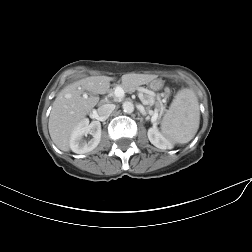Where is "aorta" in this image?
<instances>
[{"instance_id": "obj_1", "label": "aorta", "mask_w": 252, "mask_h": 252, "mask_svg": "<svg viewBox=\"0 0 252 252\" xmlns=\"http://www.w3.org/2000/svg\"><path fill=\"white\" fill-rule=\"evenodd\" d=\"M123 111L127 114H131L134 111V104L129 101H125L122 104Z\"/></svg>"}]
</instances>
